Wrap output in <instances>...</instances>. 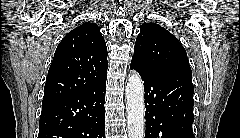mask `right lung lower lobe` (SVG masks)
<instances>
[{
  "instance_id": "98d812e1",
  "label": "right lung lower lobe",
  "mask_w": 240,
  "mask_h": 138,
  "mask_svg": "<svg viewBox=\"0 0 240 138\" xmlns=\"http://www.w3.org/2000/svg\"><path fill=\"white\" fill-rule=\"evenodd\" d=\"M106 79L87 92L42 104L38 138H105Z\"/></svg>"
}]
</instances>
